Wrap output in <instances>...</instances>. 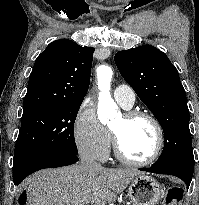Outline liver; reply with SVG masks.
Returning <instances> with one entry per match:
<instances>
[{
    "instance_id": "1",
    "label": "liver",
    "mask_w": 199,
    "mask_h": 205,
    "mask_svg": "<svg viewBox=\"0 0 199 205\" xmlns=\"http://www.w3.org/2000/svg\"><path fill=\"white\" fill-rule=\"evenodd\" d=\"M139 174L131 169L86 170L80 164L41 170L27 180L28 205H84L92 197L114 202Z\"/></svg>"
}]
</instances>
